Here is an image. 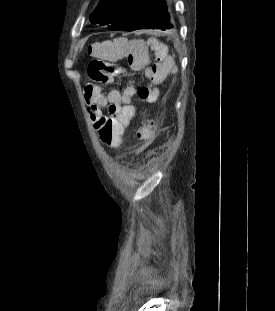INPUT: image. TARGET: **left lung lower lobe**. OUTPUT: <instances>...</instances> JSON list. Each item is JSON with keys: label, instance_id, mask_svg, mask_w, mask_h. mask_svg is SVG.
Listing matches in <instances>:
<instances>
[{"label": "left lung lower lobe", "instance_id": "0a47b994", "mask_svg": "<svg viewBox=\"0 0 275 311\" xmlns=\"http://www.w3.org/2000/svg\"><path fill=\"white\" fill-rule=\"evenodd\" d=\"M173 24L165 0H145L122 31L140 29L171 30Z\"/></svg>", "mask_w": 275, "mask_h": 311}]
</instances>
